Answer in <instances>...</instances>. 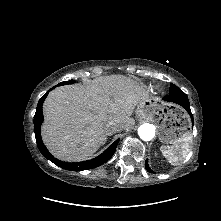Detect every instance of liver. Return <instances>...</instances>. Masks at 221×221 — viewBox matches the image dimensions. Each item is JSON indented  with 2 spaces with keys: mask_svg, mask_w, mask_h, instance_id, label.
<instances>
[{
  "mask_svg": "<svg viewBox=\"0 0 221 221\" xmlns=\"http://www.w3.org/2000/svg\"><path fill=\"white\" fill-rule=\"evenodd\" d=\"M146 98L142 86L123 75L98 77L86 85L58 87L43 104V141L58 159L85 160L105 143V125L109 121L121 129L134 125L130 116Z\"/></svg>",
  "mask_w": 221,
  "mask_h": 221,
  "instance_id": "liver-1",
  "label": "liver"
}]
</instances>
